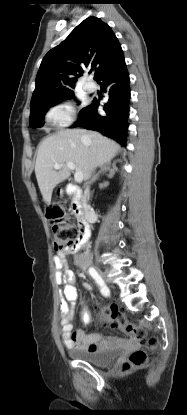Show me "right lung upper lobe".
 <instances>
[{"label":"right lung upper lobe","instance_id":"obj_1","mask_svg":"<svg viewBox=\"0 0 187 415\" xmlns=\"http://www.w3.org/2000/svg\"><path fill=\"white\" fill-rule=\"evenodd\" d=\"M121 52L111 28L97 17H88L43 58L30 111L58 103L72 93L70 88H74L87 67L94 72L95 79Z\"/></svg>","mask_w":187,"mask_h":415}]
</instances>
